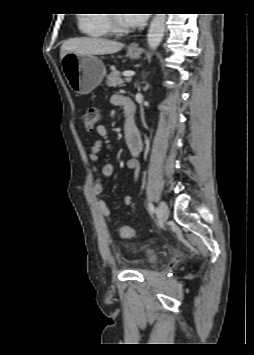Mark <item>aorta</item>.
I'll return each instance as SVG.
<instances>
[{
  "label": "aorta",
  "mask_w": 254,
  "mask_h": 355,
  "mask_svg": "<svg viewBox=\"0 0 254 355\" xmlns=\"http://www.w3.org/2000/svg\"><path fill=\"white\" fill-rule=\"evenodd\" d=\"M165 14H155L154 18L151 21L148 34L147 42L150 49L155 50L161 43L164 32H165Z\"/></svg>",
  "instance_id": "762f6f07"
}]
</instances>
